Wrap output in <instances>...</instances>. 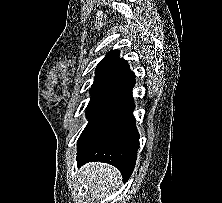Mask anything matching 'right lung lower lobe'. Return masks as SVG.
<instances>
[{
    "mask_svg": "<svg viewBox=\"0 0 222 203\" xmlns=\"http://www.w3.org/2000/svg\"><path fill=\"white\" fill-rule=\"evenodd\" d=\"M135 80L89 117L78 139V166L100 161L118 168L126 182L135 167L139 133L132 115Z\"/></svg>",
    "mask_w": 222,
    "mask_h": 203,
    "instance_id": "1",
    "label": "right lung lower lobe"
}]
</instances>
